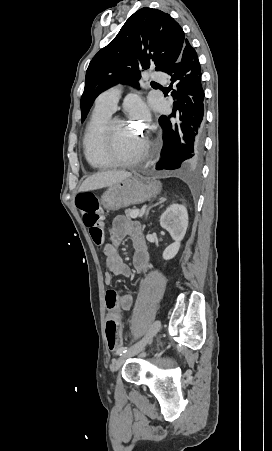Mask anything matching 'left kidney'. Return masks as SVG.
Masks as SVG:
<instances>
[{
    "instance_id": "obj_1",
    "label": "left kidney",
    "mask_w": 272,
    "mask_h": 451,
    "mask_svg": "<svg viewBox=\"0 0 272 451\" xmlns=\"http://www.w3.org/2000/svg\"><path fill=\"white\" fill-rule=\"evenodd\" d=\"M160 226L169 231L173 243L164 249L162 255L164 259H172L179 251L181 239H183L188 227V212L185 206L172 204L160 218Z\"/></svg>"
}]
</instances>
